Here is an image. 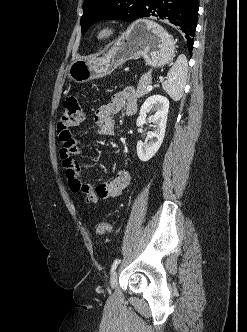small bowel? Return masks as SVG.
Here are the masks:
<instances>
[{"instance_id": "c3829d8e", "label": "small bowel", "mask_w": 247, "mask_h": 332, "mask_svg": "<svg viewBox=\"0 0 247 332\" xmlns=\"http://www.w3.org/2000/svg\"><path fill=\"white\" fill-rule=\"evenodd\" d=\"M137 97L133 88H125L113 95L112 99L100 106L94 113V121L98 126L97 134L101 136H114L115 129L113 115L124 109L126 115L131 116L136 112ZM80 153V148L73 140L71 144H63L60 157L65 169L70 190L85 197L87 205H92L100 199H109L119 196L130 182V174L120 170L115 177L106 183L97 186H87L83 183L82 166L75 159Z\"/></svg>"}]
</instances>
